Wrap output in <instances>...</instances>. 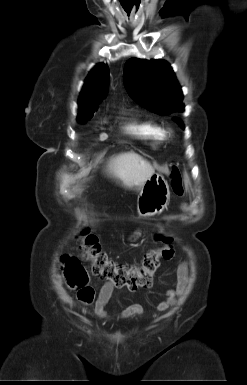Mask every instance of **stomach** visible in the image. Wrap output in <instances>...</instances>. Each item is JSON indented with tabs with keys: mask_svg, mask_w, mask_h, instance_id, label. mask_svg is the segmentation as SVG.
<instances>
[{
	"mask_svg": "<svg viewBox=\"0 0 247 385\" xmlns=\"http://www.w3.org/2000/svg\"><path fill=\"white\" fill-rule=\"evenodd\" d=\"M170 190L167 181L159 174H153L143 185L137 200L138 213L152 216L161 213L167 207Z\"/></svg>",
	"mask_w": 247,
	"mask_h": 385,
	"instance_id": "0dacf381",
	"label": "stomach"
}]
</instances>
